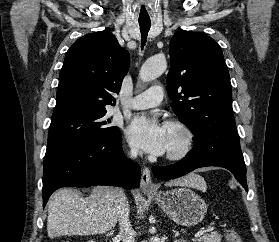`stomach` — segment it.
<instances>
[{"label": "stomach", "instance_id": "stomach-1", "mask_svg": "<svg viewBox=\"0 0 279 242\" xmlns=\"http://www.w3.org/2000/svg\"><path fill=\"white\" fill-rule=\"evenodd\" d=\"M158 206L177 224L195 226L207 212L205 201L188 187L148 194Z\"/></svg>", "mask_w": 279, "mask_h": 242}]
</instances>
